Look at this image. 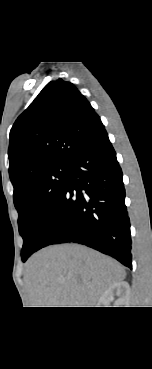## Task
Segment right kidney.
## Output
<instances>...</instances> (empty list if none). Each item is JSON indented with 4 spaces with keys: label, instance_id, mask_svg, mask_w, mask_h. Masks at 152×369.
Listing matches in <instances>:
<instances>
[{
    "label": "right kidney",
    "instance_id": "1",
    "mask_svg": "<svg viewBox=\"0 0 152 369\" xmlns=\"http://www.w3.org/2000/svg\"><path fill=\"white\" fill-rule=\"evenodd\" d=\"M130 286L127 282L121 281L110 286L100 297L97 307H110L115 297L113 307H129Z\"/></svg>",
    "mask_w": 152,
    "mask_h": 369
}]
</instances>
